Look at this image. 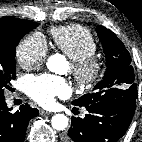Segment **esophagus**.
<instances>
[{"instance_id": "34e87169", "label": "esophagus", "mask_w": 142, "mask_h": 142, "mask_svg": "<svg viewBox=\"0 0 142 142\" xmlns=\"http://www.w3.org/2000/svg\"><path fill=\"white\" fill-rule=\"evenodd\" d=\"M39 113H40L41 116H45V115H50L51 114V112H48V111H45V110H40Z\"/></svg>"}]
</instances>
